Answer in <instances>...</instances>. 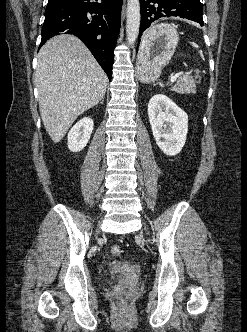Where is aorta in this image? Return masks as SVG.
Masks as SVG:
<instances>
[{
  "label": "aorta",
  "mask_w": 247,
  "mask_h": 332,
  "mask_svg": "<svg viewBox=\"0 0 247 332\" xmlns=\"http://www.w3.org/2000/svg\"><path fill=\"white\" fill-rule=\"evenodd\" d=\"M140 27V1H127L126 35L129 45H133L138 37Z\"/></svg>",
  "instance_id": "762f6f07"
}]
</instances>
